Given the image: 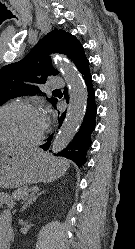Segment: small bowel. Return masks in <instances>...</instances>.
<instances>
[{
	"label": "small bowel",
	"mask_w": 135,
	"mask_h": 249,
	"mask_svg": "<svg viewBox=\"0 0 135 249\" xmlns=\"http://www.w3.org/2000/svg\"><path fill=\"white\" fill-rule=\"evenodd\" d=\"M11 221V212L9 210H4L0 214V249H4L3 245L8 243L9 239L13 236Z\"/></svg>",
	"instance_id": "1"
}]
</instances>
